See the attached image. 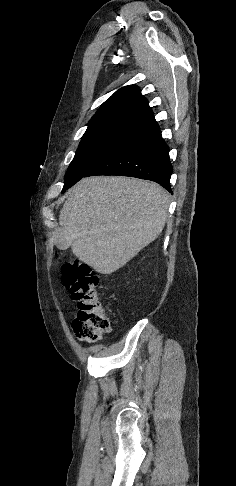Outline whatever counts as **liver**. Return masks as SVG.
Masks as SVG:
<instances>
[{
	"mask_svg": "<svg viewBox=\"0 0 236 486\" xmlns=\"http://www.w3.org/2000/svg\"><path fill=\"white\" fill-rule=\"evenodd\" d=\"M168 193L136 178L98 176L80 180L68 192L59 215L62 241L98 273L111 274L162 232Z\"/></svg>",
	"mask_w": 236,
	"mask_h": 486,
	"instance_id": "6515ba94",
	"label": "liver"
}]
</instances>
